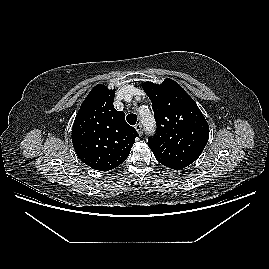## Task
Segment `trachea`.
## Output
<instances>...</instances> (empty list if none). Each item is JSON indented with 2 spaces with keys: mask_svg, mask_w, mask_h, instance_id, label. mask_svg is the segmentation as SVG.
<instances>
[{
  "mask_svg": "<svg viewBox=\"0 0 269 269\" xmlns=\"http://www.w3.org/2000/svg\"><path fill=\"white\" fill-rule=\"evenodd\" d=\"M126 120L130 125H135L137 122V116H136V114H129L126 117Z\"/></svg>",
  "mask_w": 269,
  "mask_h": 269,
  "instance_id": "1",
  "label": "trachea"
}]
</instances>
